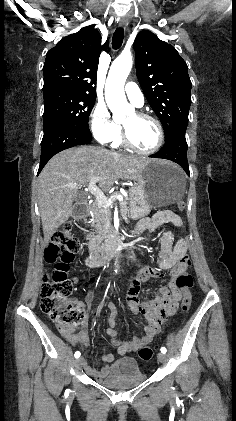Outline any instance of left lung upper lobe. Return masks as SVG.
<instances>
[{"label":"left lung upper lobe","mask_w":236,"mask_h":421,"mask_svg":"<svg viewBox=\"0 0 236 421\" xmlns=\"http://www.w3.org/2000/svg\"><path fill=\"white\" fill-rule=\"evenodd\" d=\"M136 74L148 103L160 119L165 137L187 128L191 81L177 50L152 32H139L134 42Z\"/></svg>","instance_id":"obj_1"}]
</instances>
